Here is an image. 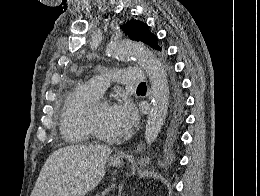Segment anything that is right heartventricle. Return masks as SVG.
I'll return each instance as SVG.
<instances>
[{
    "mask_svg": "<svg viewBox=\"0 0 260 196\" xmlns=\"http://www.w3.org/2000/svg\"><path fill=\"white\" fill-rule=\"evenodd\" d=\"M100 97L88 83L77 85L73 89L65 104L61 121V133L67 143L85 144L93 138V133L86 126V120L91 106Z\"/></svg>",
    "mask_w": 260,
    "mask_h": 196,
    "instance_id": "1",
    "label": "right heart ventricle"
}]
</instances>
